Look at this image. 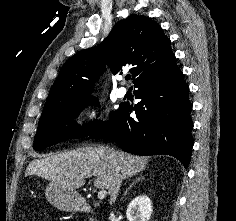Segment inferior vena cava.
Listing matches in <instances>:
<instances>
[{
	"label": "inferior vena cava",
	"instance_id": "1",
	"mask_svg": "<svg viewBox=\"0 0 236 221\" xmlns=\"http://www.w3.org/2000/svg\"><path fill=\"white\" fill-rule=\"evenodd\" d=\"M112 154H115V152L112 151ZM121 183H122V178L118 176L114 182L113 188L111 189V191L109 193L110 194V200H109L110 204H112L116 201V198H117L119 190H120Z\"/></svg>",
	"mask_w": 236,
	"mask_h": 221
}]
</instances>
